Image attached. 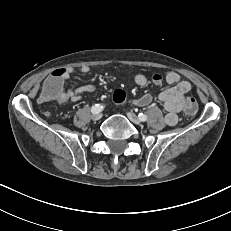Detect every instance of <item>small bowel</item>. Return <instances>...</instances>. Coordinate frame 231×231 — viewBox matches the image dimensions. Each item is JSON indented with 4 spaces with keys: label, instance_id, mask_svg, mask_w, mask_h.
Masks as SVG:
<instances>
[{
    "label": "small bowel",
    "instance_id": "small-bowel-1",
    "mask_svg": "<svg viewBox=\"0 0 231 231\" xmlns=\"http://www.w3.org/2000/svg\"><path fill=\"white\" fill-rule=\"evenodd\" d=\"M64 72L63 79L59 82L60 85V95L56 99L60 104L66 102H77L81 99L82 94L91 93L96 90V86L94 84L84 85L74 89L65 90L64 87L67 81L70 78L71 73L73 72L72 67L60 68ZM80 73L87 74L91 71L89 66H81L78 68ZM135 83L144 87L148 83V79L143 74H137L134 77ZM153 81L156 85H160L163 81H165L169 87L161 91L158 95V100L160 101L163 109L166 111L165 122L169 126H174L178 121V113L182 111L183 98L189 96V92L191 90V84L182 80L180 75L176 72L170 71L166 73L164 77L160 75H155L153 77ZM152 95L150 93H146L134 100H132V104L139 107L147 106L152 101Z\"/></svg>",
    "mask_w": 231,
    "mask_h": 231
}]
</instances>
